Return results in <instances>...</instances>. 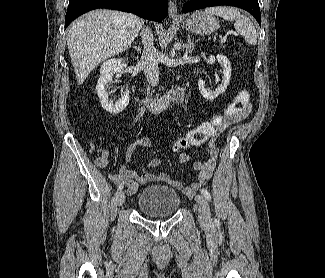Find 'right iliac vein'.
Wrapping results in <instances>:
<instances>
[{"label": "right iliac vein", "mask_w": 325, "mask_h": 278, "mask_svg": "<svg viewBox=\"0 0 325 278\" xmlns=\"http://www.w3.org/2000/svg\"><path fill=\"white\" fill-rule=\"evenodd\" d=\"M125 201V194L123 191H118L116 193V204L121 206Z\"/></svg>", "instance_id": "1"}]
</instances>
